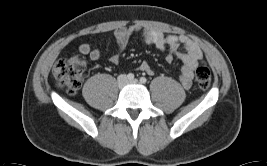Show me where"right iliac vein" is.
Here are the masks:
<instances>
[{
	"label": "right iliac vein",
	"mask_w": 267,
	"mask_h": 166,
	"mask_svg": "<svg viewBox=\"0 0 267 166\" xmlns=\"http://www.w3.org/2000/svg\"><path fill=\"white\" fill-rule=\"evenodd\" d=\"M127 84V77L125 75H120L118 77V87L123 88Z\"/></svg>",
	"instance_id": "63e3f726"
}]
</instances>
